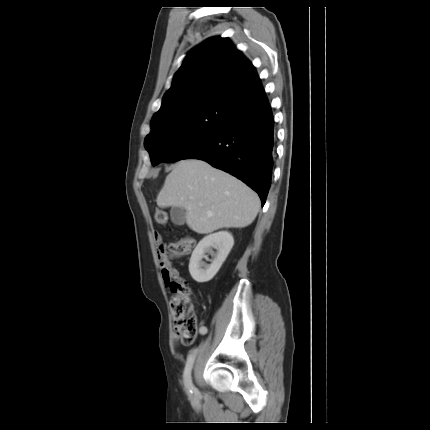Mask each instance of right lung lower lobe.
<instances>
[{
    "instance_id": "obj_1",
    "label": "right lung lower lobe",
    "mask_w": 430,
    "mask_h": 430,
    "mask_svg": "<svg viewBox=\"0 0 430 430\" xmlns=\"http://www.w3.org/2000/svg\"><path fill=\"white\" fill-rule=\"evenodd\" d=\"M226 126L184 159L208 162L239 178L265 204L271 185L275 153V125L263 87L250 103L229 108Z\"/></svg>"
}]
</instances>
